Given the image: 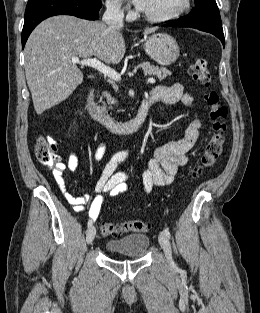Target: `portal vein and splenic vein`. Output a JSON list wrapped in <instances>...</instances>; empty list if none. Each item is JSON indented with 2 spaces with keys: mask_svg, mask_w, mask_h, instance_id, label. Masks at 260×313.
<instances>
[{
  "mask_svg": "<svg viewBox=\"0 0 260 313\" xmlns=\"http://www.w3.org/2000/svg\"><path fill=\"white\" fill-rule=\"evenodd\" d=\"M71 60L75 64H80V65L92 67V68L100 71L104 75H107L108 77H110L111 79H113L115 81L121 80V74H119L114 69L106 66L105 64H103L102 62H100L96 58L79 60V58H77V57H72ZM147 82L154 84L156 82V80L154 78H148Z\"/></svg>",
  "mask_w": 260,
  "mask_h": 313,
  "instance_id": "portal-vein-and-splenic-vein-1",
  "label": "portal vein and splenic vein"
}]
</instances>
